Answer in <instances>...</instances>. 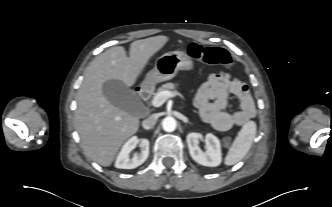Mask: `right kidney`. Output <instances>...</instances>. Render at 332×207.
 Returning a JSON list of instances; mask_svg holds the SVG:
<instances>
[{
	"label": "right kidney",
	"instance_id": "1",
	"mask_svg": "<svg viewBox=\"0 0 332 207\" xmlns=\"http://www.w3.org/2000/svg\"><path fill=\"white\" fill-rule=\"evenodd\" d=\"M139 144L141 152L130 158V152ZM149 155V140L137 137L130 138L122 147L115 162V167L120 169H134L143 164Z\"/></svg>",
	"mask_w": 332,
	"mask_h": 207
}]
</instances>
